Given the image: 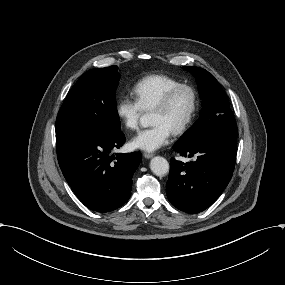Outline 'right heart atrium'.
<instances>
[{"instance_id":"obj_1","label":"right heart atrium","mask_w":285,"mask_h":285,"mask_svg":"<svg viewBox=\"0 0 285 285\" xmlns=\"http://www.w3.org/2000/svg\"><path fill=\"white\" fill-rule=\"evenodd\" d=\"M118 114L129 128H136L144 114V108L132 91L125 93L117 106Z\"/></svg>"}]
</instances>
